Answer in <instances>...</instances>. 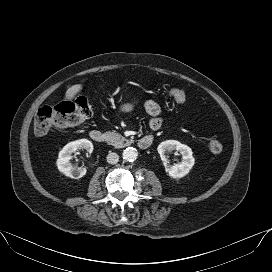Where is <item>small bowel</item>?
<instances>
[{"label":"small bowel","mask_w":272,"mask_h":272,"mask_svg":"<svg viewBox=\"0 0 272 272\" xmlns=\"http://www.w3.org/2000/svg\"><path fill=\"white\" fill-rule=\"evenodd\" d=\"M144 109L150 116L149 127L152 131H157L162 126L161 108L153 100H147L144 103Z\"/></svg>","instance_id":"c3829d8e"}]
</instances>
